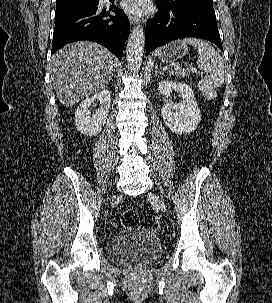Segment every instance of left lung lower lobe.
Masks as SVG:
<instances>
[{
    "label": "left lung lower lobe",
    "mask_w": 272,
    "mask_h": 303,
    "mask_svg": "<svg viewBox=\"0 0 272 303\" xmlns=\"http://www.w3.org/2000/svg\"><path fill=\"white\" fill-rule=\"evenodd\" d=\"M157 6L158 13L154 18L147 20L146 24L147 54L159 46L182 37L206 39L223 51L213 8H166L159 4Z\"/></svg>",
    "instance_id": "0a47b994"
}]
</instances>
